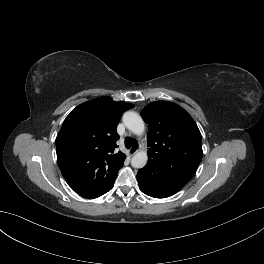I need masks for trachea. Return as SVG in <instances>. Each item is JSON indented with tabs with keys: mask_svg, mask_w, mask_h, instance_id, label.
I'll list each match as a JSON object with an SVG mask.
<instances>
[{
	"mask_svg": "<svg viewBox=\"0 0 264 264\" xmlns=\"http://www.w3.org/2000/svg\"><path fill=\"white\" fill-rule=\"evenodd\" d=\"M125 146L126 148H131V147H134V148H137L138 147V142L130 137H127L125 139Z\"/></svg>",
	"mask_w": 264,
	"mask_h": 264,
	"instance_id": "3493384b",
	"label": "trachea"
}]
</instances>
